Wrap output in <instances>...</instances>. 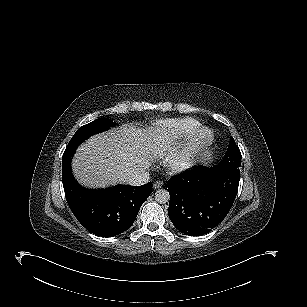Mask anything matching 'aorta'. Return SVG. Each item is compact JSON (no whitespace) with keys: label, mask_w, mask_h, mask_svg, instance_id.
<instances>
[{"label":"aorta","mask_w":307,"mask_h":307,"mask_svg":"<svg viewBox=\"0 0 307 307\" xmlns=\"http://www.w3.org/2000/svg\"><path fill=\"white\" fill-rule=\"evenodd\" d=\"M155 200L159 204H165L170 200V194L166 189H159L155 192Z\"/></svg>","instance_id":"1"}]
</instances>
